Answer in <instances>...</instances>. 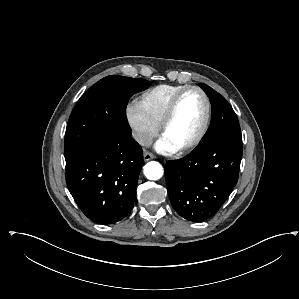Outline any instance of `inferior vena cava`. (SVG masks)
Segmentation results:
<instances>
[{
  "mask_svg": "<svg viewBox=\"0 0 299 299\" xmlns=\"http://www.w3.org/2000/svg\"><path fill=\"white\" fill-rule=\"evenodd\" d=\"M133 137L142 146H149L152 144V137L145 132H135Z\"/></svg>",
  "mask_w": 299,
  "mask_h": 299,
  "instance_id": "1",
  "label": "inferior vena cava"
}]
</instances>
